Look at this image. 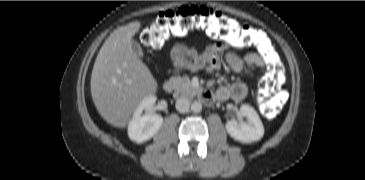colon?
Segmentation results:
<instances>
[{
	"label": "colon",
	"mask_w": 365,
	"mask_h": 180,
	"mask_svg": "<svg viewBox=\"0 0 365 180\" xmlns=\"http://www.w3.org/2000/svg\"><path fill=\"white\" fill-rule=\"evenodd\" d=\"M194 29H202L206 34L224 45L240 48L249 44L260 45L263 58L269 65V72L260 83L259 96L266 107L265 114L276 115L282 99L276 93L281 89L283 75L281 67L274 60L273 52L261 44L252 30L235 26L219 12L200 6H184L159 13L141 33L142 42L151 47H161L168 39L182 37ZM274 102L275 105H271Z\"/></svg>",
	"instance_id": "colon-1"
}]
</instances>
